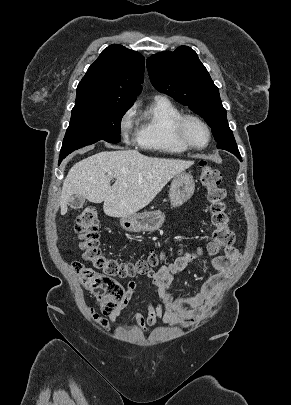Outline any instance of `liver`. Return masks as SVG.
<instances>
[{"label":"liver","instance_id":"liver-1","mask_svg":"<svg viewBox=\"0 0 291 405\" xmlns=\"http://www.w3.org/2000/svg\"><path fill=\"white\" fill-rule=\"evenodd\" d=\"M192 161L148 157L136 150L104 151L76 163L68 172L60 197L61 215L73 196L104 202L111 217L131 215L147 206ZM116 178L111 186L110 181Z\"/></svg>","mask_w":291,"mask_h":405}]
</instances>
